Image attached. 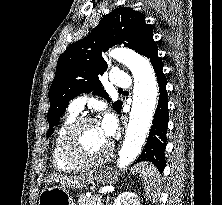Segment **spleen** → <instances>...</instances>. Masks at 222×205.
<instances>
[{
    "mask_svg": "<svg viewBox=\"0 0 222 205\" xmlns=\"http://www.w3.org/2000/svg\"><path fill=\"white\" fill-rule=\"evenodd\" d=\"M137 172L145 182V192L149 198H156L157 192L160 191L161 176L156 167L148 162L139 163Z\"/></svg>",
    "mask_w": 222,
    "mask_h": 205,
    "instance_id": "1",
    "label": "spleen"
}]
</instances>
